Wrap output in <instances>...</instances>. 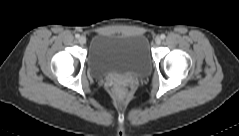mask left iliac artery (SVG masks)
<instances>
[{
    "label": "left iliac artery",
    "instance_id": "obj_1",
    "mask_svg": "<svg viewBox=\"0 0 239 136\" xmlns=\"http://www.w3.org/2000/svg\"><path fill=\"white\" fill-rule=\"evenodd\" d=\"M160 37H161V39H165L166 36H165V34H161Z\"/></svg>",
    "mask_w": 239,
    "mask_h": 136
}]
</instances>
